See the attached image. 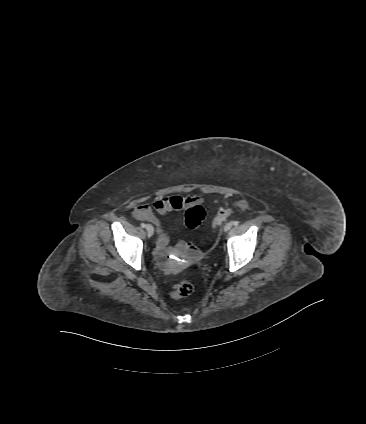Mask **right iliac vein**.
<instances>
[{
  "mask_svg": "<svg viewBox=\"0 0 366 424\" xmlns=\"http://www.w3.org/2000/svg\"><path fill=\"white\" fill-rule=\"evenodd\" d=\"M146 230H147V233H148V235H149V236H152V235H153V233H154V228H153V226H151V225H147V226H146Z\"/></svg>",
  "mask_w": 366,
  "mask_h": 424,
  "instance_id": "right-iliac-vein-1",
  "label": "right iliac vein"
}]
</instances>
